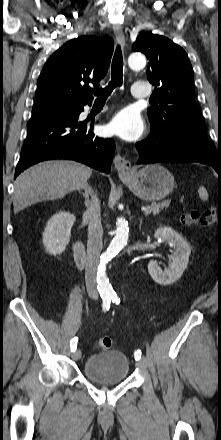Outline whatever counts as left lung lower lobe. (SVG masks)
Masks as SVG:
<instances>
[{"label":"left lung lower lobe","instance_id":"0a47b994","mask_svg":"<svg viewBox=\"0 0 221 440\" xmlns=\"http://www.w3.org/2000/svg\"><path fill=\"white\" fill-rule=\"evenodd\" d=\"M140 157L137 164L192 161L212 166L221 176V152L209 141L207 134L187 126L169 128L164 132L151 128L150 135L136 144Z\"/></svg>","mask_w":221,"mask_h":440}]
</instances>
